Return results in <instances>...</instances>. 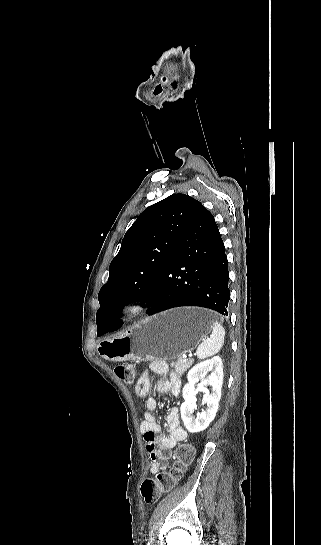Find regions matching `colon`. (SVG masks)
Here are the masks:
<instances>
[{"label": "colon", "mask_w": 321, "mask_h": 545, "mask_svg": "<svg viewBox=\"0 0 321 545\" xmlns=\"http://www.w3.org/2000/svg\"><path fill=\"white\" fill-rule=\"evenodd\" d=\"M116 376L127 384L135 377V368L131 364H121L114 368ZM194 451L191 445L181 444L174 452V463L168 471L160 472L141 483V495L147 504L156 503L163 494L172 489L183 474L185 467L191 462Z\"/></svg>", "instance_id": "1"}]
</instances>
